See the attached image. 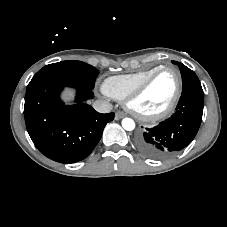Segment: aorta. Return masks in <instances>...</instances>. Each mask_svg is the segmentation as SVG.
Returning <instances> with one entry per match:
<instances>
[{"instance_id":"762f6f07","label":"aorta","mask_w":227,"mask_h":227,"mask_svg":"<svg viewBox=\"0 0 227 227\" xmlns=\"http://www.w3.org/2000/svg\"><path fill=\"white\" fill-rule=\"evenodd\" d=\"M122 127L127 131H132L135 128V122L131 118H124L122 120Z\"/></svg>"}]
</instances>
